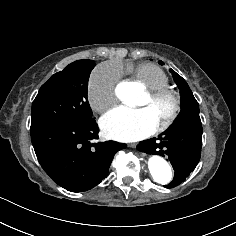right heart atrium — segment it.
<instances>
[{
  "label": "right heart atrium",
  "instance_id": "right-heart-atrium-1",
  "mask_svg": "<svg viewBox=\"0 0 236 236\" xmlns=\"http://www.w3.org/2000/svg\"><path fill=\"white\" fill-rule=\"evenodd\" d=\"M119 73L112 67L102 64L90 74L88 99L93 111L103 113L116 102L115 88Z\"/></svg>",
  "mask_w": 236,
  "mask_h": 236
}]
</instances>
